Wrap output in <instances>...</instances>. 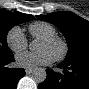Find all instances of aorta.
<instances>
[{"mask_svg": "<svg viewBox=\"0 0 89 89\" xmlns=\"http://www.w3.org/2000/svg\"><path fill=\"white\" fill-rule=\"evenodd\" d=\"M29 48L32 49L33 48V44L31 43L29 45ZM46 71L43 68H36L33 72H32V79L36 82V83H42L45 81L46 79Z\"/></svg>", "mask_w": 89, "mask_h": 89, "instance_id": "aorta-1", "label": "aorta"}]
</instances>
